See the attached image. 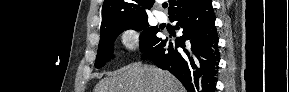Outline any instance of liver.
<instances>
[{
	"mask_svg": "<svg viewBox=\"0 0 289 92\" xmlns=\"http://www.w3.org/2000/svg\"><path fill=\"white\" fill-rule=\"evenodd\" d=\"M94 92H184V88L168 71L132 63L99 81Z\"/></svg>",
	"mask_w": 289,
	"mask_h": 92,
	"instance_id": "liver-1",
	"label": "liver"
}]
</instances>
